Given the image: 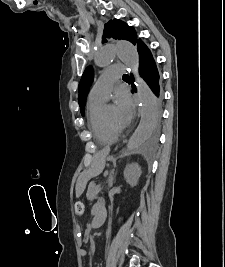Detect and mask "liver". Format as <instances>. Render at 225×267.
Masks as SVG:
<instances>
[{"label": "liver", "instance_id": "liver-1", "mask_svg": "<svg viewBox=\"0 0 225 267\" xmlns=\"http://www.w3.org/2000/svg\"><path fill=\"white\" fill-rule=\"evenodd\" d=\"M108 154V151H102L95 155L93 164L91 168L89 169V176H97L99 175L105 166V157ZM81 192L77 193V196H79Z\"/></svg>", "mask_w": 225, "mask_h": 267}]
</instances>
